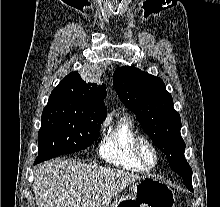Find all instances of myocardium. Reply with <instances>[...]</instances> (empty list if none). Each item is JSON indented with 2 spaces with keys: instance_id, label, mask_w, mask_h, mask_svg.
<instances>
[{
  "instance_id": "myocardium-1",
  "label": "myocardium",
  "mask_w": 220,
  "mask_h": 207,
  "mask_svg": "<svg viewBox=\"0 0 220 207\" xmlns=\"http://www.w3.org/2000/svg\"><path fill=\"white\" fill-rule=\"evenodd\" d=\"M147 147L151 150L153 154V161L148 162L143 154V148ZM133 152L136 159L146 168L151 169L154 168L159 161V151L154 142L143 135H137L133 141Z\"/></svg>"
}]
</instances>
